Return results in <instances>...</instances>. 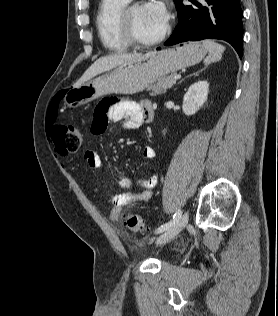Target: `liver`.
I'll return each mask as SVG.
<instances>
[{
	"instance_id": "6515ba94",
	"label": "liver",
	"mask_w": 278,
	"mask_h": 316,
	"mask_svg": "<svg viewBox=\"0 0 278 316\" xmlns=\"http://www.w3.org/2000/svg\"><path fill=\"white\" fill-rule=\"evenodd\" d=\"M154 52H148L146 54L133 53V54H114L109 56H104L95 61L82 75V77L74 84V87L80 86L93 77L120 67L126 64L136 63L146 57L153 55Z\"/></svg>"
}]
</instances>
